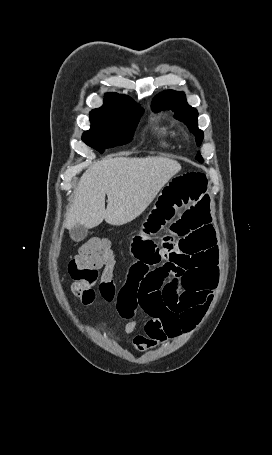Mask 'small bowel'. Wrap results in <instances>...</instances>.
I'll return each instance as SVG.
<instances>
[{
    "mask_svg": "<svg viewBox=\"0 0 272 455\" xmlns=\"http://www.w3.org/2000/svg\"><path fill=\"white\" fill-rule=\"evenodd\" d=\"M208 185L202 172L174 176L133 239L135 261L115 302L126 334L136 330L138 312L149 318L144 334L133 339L140 352L191 331L212 301L218 246ZM163 228L169 233L156 243L152 238Z\"/></svg>",
    "mask_w": 272,
    "mask_h": 455,
    "instance_id": "c3829d8e",
    "label": "small bowel"
}]
</instances>
